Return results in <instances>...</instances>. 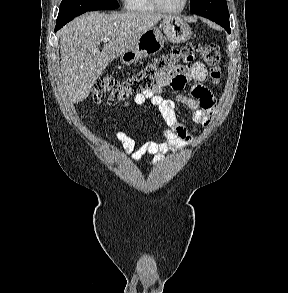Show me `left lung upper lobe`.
Segmentation results:
<instances>
[{"mask_svg":"<svg viewBox=\"0 0 288 293\" xmlns=\"http://www.w3.org/2000/svg\"><path fill=\"white\" fill-rule=\"evenodd\" d=\"M190 10L194 14L215 21L222 27L230 26L226 0H190Z\"/></svg>","mask_w":288,"mask_h":293,"instance_id":"1","label":"left lung upper lobe"}]
</instances>
